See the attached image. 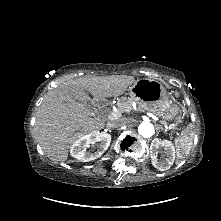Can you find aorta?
Instances as JSON below:
<instances>
[{
	"instance_id": "1",
	"label": "aorta",
	"mask_w": 221,
	"mask_h": 221,
	"mask_svg": "<svg viewBox=\"0 0 221 221\" xmlns=\"http://www.w3.org/2000/svg\"><path fill=\"white\" fill-rule=\"evenodd\" d=\"M138 132L144 138H149L155 133V130L150 122H142L138 127Z\"/></svg>"
}]
</instances>
